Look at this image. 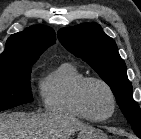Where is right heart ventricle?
Wrapping results in <instances>:
<instances>
[{"label":"right heart ventricle","mask_w":141,"mask_h":139,"mask_svg":"<svg viewBox=\"0 0 141 139\" xmlns=\"http://www.w3.org/2000/svg\"><path fill=\"white\" fill-rule=\"evenodd\" d=\"M84 73L73 63L64 62L51 70L39 84L40 96L46 111L58 115L87 119L75 97Z\"/></svg>","instance_id":"right-heart-ventricle-1"}]
</instances>
